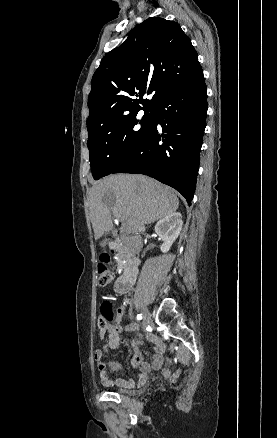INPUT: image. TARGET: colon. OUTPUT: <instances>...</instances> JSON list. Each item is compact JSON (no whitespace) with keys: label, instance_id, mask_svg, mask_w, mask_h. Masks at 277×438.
Segmentation results:
<instances>
[{"label":"colon","instance_id":"obj_1","mask_svg":"<svg viewBox=\"0 0 277 438\" xmlns=\"http://www.w3.org/2000/svg\"><path fill=\"white\" fill-rule=\"evenodd\" d=\"M114 256V252L109 251L105 252L100 256V262L97 264V274H96V281L99 286H108L113 283L114 281V272L109 267V264L112 262V258ZM116 311V310H114ZM118 311V310H117ZM119 312V311H118ZM120 316V313L118 314ZM108 318V317H106ZM119 320V318L117 319ZM99 325L101 327V331L103 334H110L112 331V328L110 326V322L108 319H101L99 322ZM102 365L100 366V368Z\"/></svg>","mask_w":277,"mask_h":438}]
</instances>
